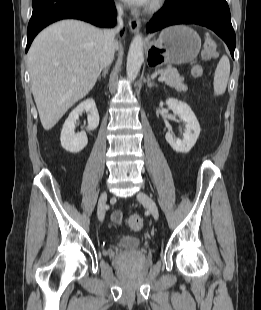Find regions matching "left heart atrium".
Instances as JSON below:
<instances>
[{"label":"left heart atrium","mask_w":261,"mask_h":310,"mask_svg":"<svg viewBox=\"0 0 261 310\" xmlns=\"http://www.w3.org/2000/svg\"><path fill=\"white\" fill-rule=\"evenodd\" d=\"M123 1H125L129 5L138 7L146 6L151 2V0H123Z\"/></svg>","instance_id":"left-heart-atrium-1"}]
</instances>
